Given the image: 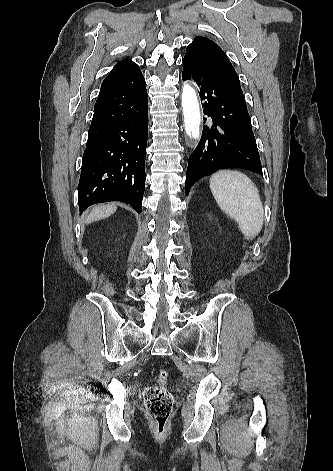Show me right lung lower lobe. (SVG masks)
I'll list each match as a JSON object with an SVG mask.
<instances>
[{
	"label": "right lung lower lobe",
	"instance_id": "obj_1",
	"mask_svg": "<svg viewBox=\"0 0 333 471\" xmlns=\"http://www.w3.org/2000/svg\"><path fill=\"white\" fill-rule=\"evenodd\" d=\"M148 137V95L138 73L125 85L100 91L83 154L78 203L109 201L142 210Z\"/></svg>",
	"mask_w": 333,
	"mask_h": 471
}]
</instances>
